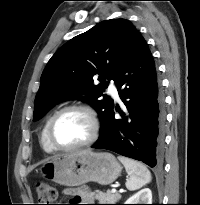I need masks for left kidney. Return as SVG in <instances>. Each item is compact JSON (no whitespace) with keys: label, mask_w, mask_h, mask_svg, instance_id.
<instances>
[{"label":"left kidney","mask_w":200,"mask_h":205,"mask_svg":"<svg viewBox=\"0 0 200 205\" xmlns=\"http://www.w3.org/2000/svg\"><path fill=\"white\" fill-rule=\"evenodd\" d=\"M124 204H152V192L144 188L131 196Z\"/></svg>","instance_id":"1"}]
</instances>
